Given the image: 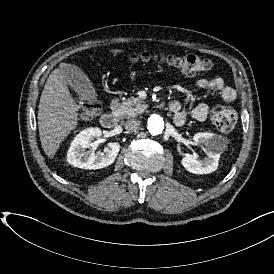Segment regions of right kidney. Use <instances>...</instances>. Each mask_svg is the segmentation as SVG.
<instances>
[{"label": "right kidney", "instance_id": "ca27d5eb", "mask_svg": "<svg viewBox=\"0 0 274 274\" xmlns=\"http://www.w3.org/2000/svg\"><path fill=\"white\" fill-rule=\"evenodd\" d=\"M101 135L102 131L98 127H89L77 134L67 152L68 163L74 167L89 170L101 169L114 163L120 151L118 143H108L103 153L86 151L91 147L92 141Z\"/></svg>", "mask_w": 274, "mask_h": 274}]
</instances>
